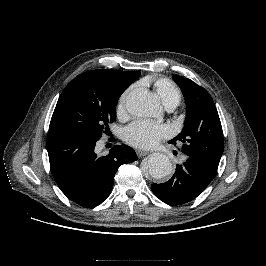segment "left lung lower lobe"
I'll return each mask as SVG.
<instances>
[{
    "instance_id": "1",
    "label": "left lung lower lobe",
    "mask_w": 266,
    "mask_h": 266,
    "mask_svg": "<svg viewBox=\"0 0 266 266\" xmlns=\"http://www.w3.org/2000/svg\"><path fill=\"white\" fill-rule=\"evenodd\" d=\"M217 168L194 157L177 165L172 178L163 184H152V192L169 205H181L196 198L216 176Z\"/></svg>"
}]
</instances>
